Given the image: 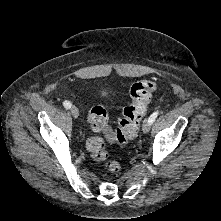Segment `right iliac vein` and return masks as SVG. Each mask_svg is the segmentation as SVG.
Returning a JSON list of instances; mask_svg holds the SVG:
<instances>
[{"mask_svg": "<svg viewBox=\"0 0 221 221\" xmlns=\"http://www.w3.org/2000/svg\"><path fill=\"white\" fill-rule=\"evenodd\" d=\"M70 111H71V114H72V116H73L74 118H78V116H79V110H78L77 107L72 106Z\"/></svg>", "mask_w": 221, "mask_h": 221, "instance_id": "63e3f726", "label": "right iliac vein"}]
</instances>
